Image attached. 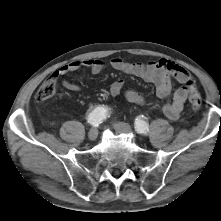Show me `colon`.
Returning <instances> with one entry per match:
<instances>
[{"label":"colon","mask_w":221,"mask_h":221,"mask_svg":"<svg viewBox=\"0 0 221 221\" xmlns=\"http://www.w3.org/2000/svg\"><path fill=\"white\" fill-rule=\"evenodd\" d=\"M186 84L189 90V102L191 108L193 110H199L202 106V99L200 95L196 92L194 85L191 81H188ZM56 88H57V80L53 77L47 78L45 81L41 83V85L36 91L35 94L36 101L41 102L51 98L55 94Z\"/></svg>","instance_id":"colon-1"}]
</instances>
